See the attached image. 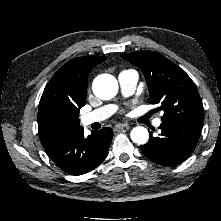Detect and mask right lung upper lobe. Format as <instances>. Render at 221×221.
Returning a JSON list of instances; mask_svg holds the SVG:
<instances>
[{
	"label": "right lung upper lobe",
	"instance_id": "right-lung-upper-lobe-1",
	"mask_svg": "<svg viewBox=\"0 0 221 221\" xmlns=\"http://www.w3.org/2000/svg\"><path fill=\"white\" fill-rule=\"evenodd\" d=\"M106 60L85 56L65 63L46 85L39 103V136L45 150L83 128L79 111L86 103L90 71Z\"/></svg>",
	"mask_w": 221,
	"mask_h": 221
}]
</instances>
